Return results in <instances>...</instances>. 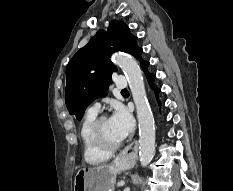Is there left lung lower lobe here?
<instances>
[{"label": "left lung lower lobe", "instance_id": "obj_1", "mask_svg": "<svg viewBox=\"0 0 233 191\" xmlns=\"http://www.w3.org/2000/svg\"><path fill=\"white\" fill-rule=\"evenodd\" d=\"M141 67L143 69V71L145 72L147 79L149 81V84L151 85L152 89L154 90L155 94H156V98L158 100V93L160 92V90L154 85V79H155V75L151 74L148 72V66H149V62L148 61H144L141 60ZM159 105H161V103L158 101Z\"/></svg>", "mask_w": 233, "mask_h": 191}]
</instances>
